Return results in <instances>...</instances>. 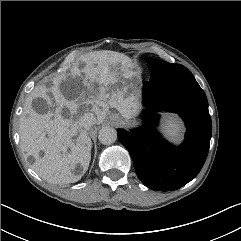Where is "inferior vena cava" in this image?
I'll return each mask as SVG.
<instances>
[{"label":"inferior vena cava","instance_id":"obj_1","mask_svg":"<svg viewBox=\"0 0 241 241\" xmlns=\"http://www.w3.org/2000/svg\"><path fill=\"white\" fill-rule=\"evenodd\" d=\"M96 123V118L93 113L87 112L79 119V124L86 130H89Z\"/></svg>","mask_w":241,"mask_h":241}]
</instances>
